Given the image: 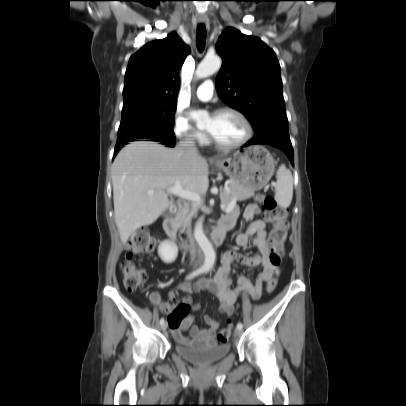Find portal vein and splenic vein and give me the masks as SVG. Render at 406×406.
<instances>
[{"mask_svg":"<svg viewBox=\"0 0 406 406\" xmlns=\"http://www.w3.org/2000/svg\"><path fill=\"white\" fill-rule=\"evenodd\" d=\"M169 193H172L174 195H177L181 198L190 200L195 203H200L201 202V196L197 193L190 192L184 190L180 185H175L173 187H169L167 189ZM236 205V200H232V202L226 207L225 205H221V209H223L226 213H230L234 206Z\"/></svg>","mask_w":406,"mask_h":406,"instance_id":"18ae733b","label":"portal vein and splenic vein"}]
</instances>
